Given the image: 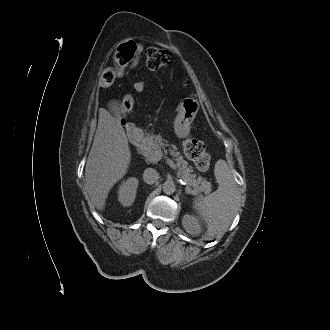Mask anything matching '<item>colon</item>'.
Returning <instances> with one entry per match:
<instances>
[{
	"instance_id": "1",
	"label": "colon",
	"mask_w": 330,
	"mask_h": 330,
	"mask_svg": "<svg viewBox=\"0 0 330 330\" xmlns=\"http://www.w3.org/2000/svg\"><path fill=\"white\" fill-rule=\"evenodd\" d=\"M135 43L127 42L119 46L113 54V66L102 70L100 83L106 87L111 85L117 77V71L126 67L133 59L135 54ZM170 54L168 51L156 47L148 48L145 53L146 66L151 69H159L170 63ZM121 107L126 112L133 109L134 98L131 94H125L121 98ZM185 155L194 162L199 171H206L210 166V156L206 151L203 142L196 139H186L183 142Z\"/></svg>"
}]
</instances>
